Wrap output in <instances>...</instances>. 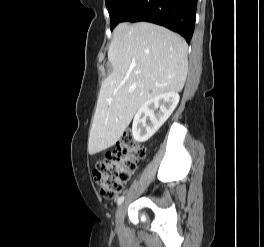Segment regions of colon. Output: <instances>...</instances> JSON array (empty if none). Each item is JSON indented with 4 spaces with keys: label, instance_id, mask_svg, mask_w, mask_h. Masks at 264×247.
Masks as SVG:
<instances>
[{
    "label": "colon",
    "instance_id": "obj_1",
    "mask_svg": "<svg viewBox=\"0 0 264 247\" xmlns=\"http://www.w3.org/2000/svg\"><path fill=\"white\" fill-rule=\"evenodd\" d=\"M144 155V148L136 143L132 135L123 134L115 150L98 161L93 169V177L100 186L101 196L105 199H115Z\"/></svg>",
    "mask_w": 264,
    "mask_h": 247
}]
</instances>
